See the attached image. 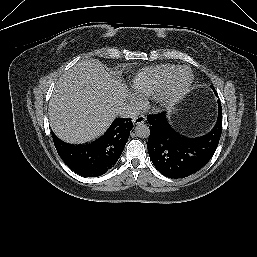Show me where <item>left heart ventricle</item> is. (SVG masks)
<instances>
[{
	"mask_svg": "<svg viewBox=\"0 0 257 257\" xmlns=\"http://www.w3.org/2000/svg\"><path fill=\"white\" fill-rule=\"evenodd\" d=\"M187 78H188L187 73H185V72L179 73V74L174 78V80H173V82H172V86H173L174 88H179V87H181V86L186 82Z\"/></svg>",
	"mask_w": 257,
	"mask_h": 257,
	"instance_id": "b2bd125f",
	"label": "left heart ventricle"
}]
</instances>
